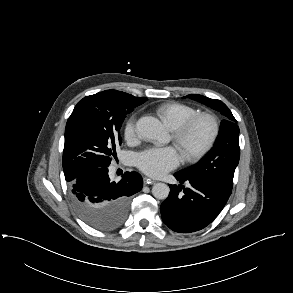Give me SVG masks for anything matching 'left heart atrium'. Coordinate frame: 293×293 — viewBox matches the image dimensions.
I'll return each mask as SVG.
<instances>
[{"label":"left heart atrium","mask_w":293,"mask_h":293,"mask_svg":"<svg viewBox=\"0 0 293 293\" xmlns=\"http://www.w3.org/2000/svg\"><path fill=\"white\" fill-rule=\"evenodd\" d=\"M179 151L173 147H154L137 156V166L147 175L161 177L180 162Z\"/></svg>","instance_id":"left-heart-atrium-1"}]
</instances>
